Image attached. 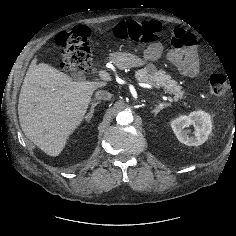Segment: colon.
<instances>
[{"label": "colon", "mask_w": 236, "mask_h": 236, "mask_svg": "<svg viewBox=\"0 0 236 236\" xmlns=\"http://www.w3.org/2000/svg\"><path fill=\"white\" fill-rule=\"evenodd\" d=\"M162 25L157 21L127 20L115 28V35L122 40L136 43H153L158 39ZM90 32L86 26H76L61 32L56 42L63 49L62 67L69 72L84 74L91 61ZM227 90V79L222 74L209 77V91L213 96H221Z\"/></svg>", "instance_id": "colon-1"}]
</instances>
